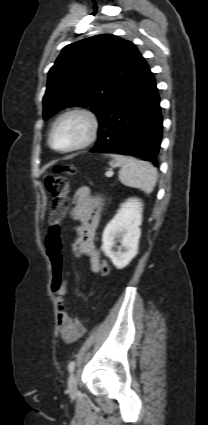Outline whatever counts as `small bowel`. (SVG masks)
Instances as JSON below:
<instances>
[{"label":"small bowel","instance_id":"small-bowel-1","mask_svg":"<svg viewBox=\"0 0 208 425\" xmlns=\"http://www.w3.org/2000/svg\"><path fill=\"white\" fill-rule=\"evenodd\" d=\"M99 197L89 187L79 188L73 201L72 218L79 222L76 229L74 248L78 254L90 260L91 269L95 273H101V266L106 263L101 259L94 242L95 230L98 224ZM66 278L62 277L59 291L56 293V300L59 307L58 326L61 337L67 343L78 340L85 332V327L77 319L70 317L64 307V294L66 291Z\"/></svg>","mask_w":208,"mask_h":425}]
</instances>
